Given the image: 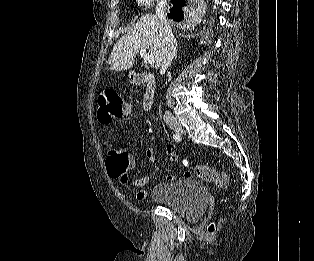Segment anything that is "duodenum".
Listing matches in <instances>:
<instances>
[{
    "label": "duodenum",
    "mask_w": 314,
    "mask_h": 261,
    "mask_svg": "<svg viewBox=\"0 0 314 261\" xmlns=\"http://www.w3.org/2000/svg\"><path fill=\"white\" fill-rule=\"evenodd\" d=\"M133 81L136 84H143L145 86L142 98V108L144 111H149L153 106L155 97L156 81L154 76L150 73H139L134 75Z\"/></svg>",
    "instance_id": "obj_1"
}]
</instances>
